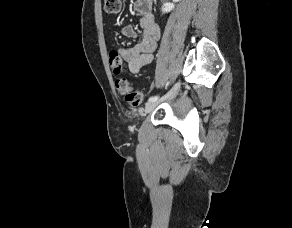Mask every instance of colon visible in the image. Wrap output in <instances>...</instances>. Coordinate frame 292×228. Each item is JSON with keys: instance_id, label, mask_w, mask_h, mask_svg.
<instances>
[{"instance_id": "5ec220e1", "label": "colon", "mask_w": 292, "mask_h": 228, "mask_svg": "<svg viewBox=\"0 0 292 228\" xmlns=\"http://www.w3.org/2000/svg\"><path fill=\"white\" fill-rule=\"evenodd\" d=\"M122 0H105V11L108 14H116L120 11ZM110 66L114 73L119 74L122 70V61L114 53H110L109 58ZM117 90L124 95L125 102L132 106L137 107L143 102V95L141 92L133 90L128 81L124 78L116 81Z\"/></svg>"}]
</instances>
